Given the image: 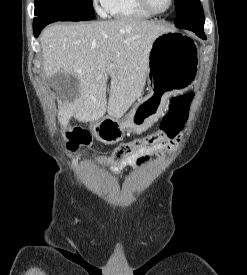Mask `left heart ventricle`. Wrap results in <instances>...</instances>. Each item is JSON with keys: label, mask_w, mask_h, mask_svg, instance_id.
<instances>
[{"label": "left heart ventricle", "mask_w": 247, "mask_h": 275, "mask_svg": "<svg viewBox=\"0 0 247 275\" xmlns=\"http://www.w3.org/2000/svg\"><path fill=\"white\" fill-rule=\"evenodd\" d=\"M169 1L170 0H149L151 6L157 11L165 10L169 6Z\"/></svg>", "instance_id": "obj_1"}]
</instances>
